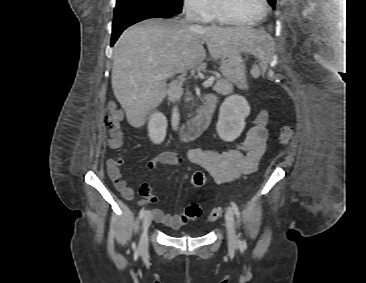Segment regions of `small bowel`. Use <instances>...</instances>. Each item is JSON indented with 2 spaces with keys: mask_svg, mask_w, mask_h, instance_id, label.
Wrapping results in <instances>:
<instances>
[{
  "mask_svg": "<svg viewBox=\"0 0 366 283\" xmlns=\"http://www.w3.org/2000/svg\"><path fill=\"white\" fill-rule=\"evenodd\" d=\"M211 98L215 100L214 97ZM267 119V111L261 110L258 112L244 142L236 148L222 152L194 148L187 153V161L207 171L217 184L229 183L242 175L253 173L266 151L268 138ZM192 138L193 136L189 135L186 140H191ZM182 162L183 158L179 154L164 151L149 160L147 168L149 171H152L157 164L179 165ZM123 163L122 158H110L107 160V170L116 189L126 200H132L134 198V189L122 178L121 166ZM139 194L144 198L139 201L140 205H144L145 202H158V198L151 194L147 183L140 185ZM151 214L155 221L165 224L172 229L180 228L186 221L180 215L166 214L158 208L153 209Z\"/></svg>",
  "mask_w": 366,
  "mask_h": 283,
  "instance_id": "1",
  "label": "small bowel"
}]
</instances>
